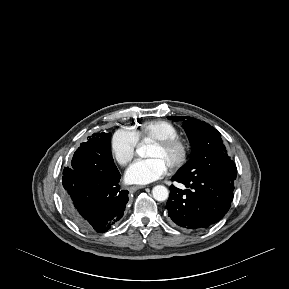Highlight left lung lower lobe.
<instances>
[{
    "mask_svg": "<svg viewBox=\"0 0 289 289\" xmlns=\"http://www.w3.org/2000/svg\"><path fill=\"white\" fill-rule=\"evenodd\" d=\"M172 180L189 188L181 190L171 186L166 209L172 225L192 230L208 228L228 212L234 185L222 178L200 176L187 179L177 173Z\"/></svg>",
    "mask_w": 289,
    "mask_h": 289,
    "instance_id": "0a47b994",
    "label": "left lung lower lobe"
}]
</instances>
